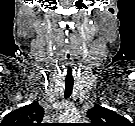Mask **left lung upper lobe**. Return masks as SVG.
Segmentation results:
<instances>
[{"label": "left lung upper lobe", "mask_w": 135, "mask_h": 126, "mask_svg": "<svg viewBox=\"0 0 135 126\" xmlns=\"http://www.w3.org/2000/svg\"><path fill=\"white\" fill-rule=\"evenodd\" d=\"M87 116L91 120L92 126H124L128 121L123 116L99 104L89 109Z\"/></svg>", "instance_id": "obj_1"}]
</instances>
